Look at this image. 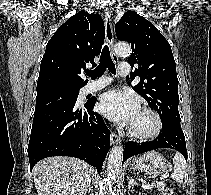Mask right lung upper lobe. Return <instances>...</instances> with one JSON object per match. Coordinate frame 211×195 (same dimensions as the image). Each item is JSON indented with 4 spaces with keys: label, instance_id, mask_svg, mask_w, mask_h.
I'll use <instances>...</instances> for the list:
<instances>
[{
    "label": "right lung upper lobe",
    "instance_id": "1",
    "mask_svg": "<svg viewBox=\"0 0 211 195\" xmlns=\"http://www.w3.org/2000/svg\"><path fill=\"white\" fill-rule=\"evenodd\" d=\"M104 36V22L99 15L80 11L70 17L47 43L37 94L85 86L87 80L80 75L88 64L95 66L94 58L101 52Z\"/></svg>",
    "mask_w": 211,
    "mask_h": 195
}]
</instances>
